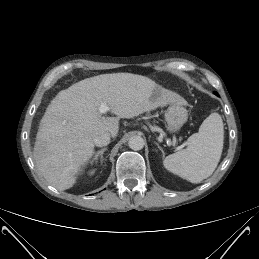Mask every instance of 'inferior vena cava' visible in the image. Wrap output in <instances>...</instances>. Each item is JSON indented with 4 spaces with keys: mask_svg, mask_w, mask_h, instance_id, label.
I'll list each match as a JSON object with an SVG mask.
<instances>
[{
    "mask_svg": "<svg viewBox=\"0 0 259 259\" xmlns=\"http://www.w3.org/2000/svg\"><path fill=\"white\" fill-rule=\"evenodd\" d=\"M110 133L108 132H103L98 134L94 139L93 142L96 146L98 147H103L106 146L110 143Z\"/></svg>",
    "mask_w": 259,
    "mask_h": 259,
    "instance_id": "602c4592",
    "label": "inferior vena cava"
}]
</instances>
